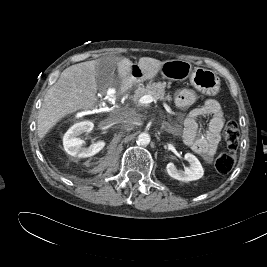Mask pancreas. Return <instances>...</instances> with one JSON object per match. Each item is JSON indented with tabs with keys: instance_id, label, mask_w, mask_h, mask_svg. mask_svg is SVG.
<instances>
[{
	"instance_id": "1",
	"label": "pancreas",
	"mask_w": 267,
	"mask_h": 267,
	"mask_svg": "<svg viewBox=\"0 0 267 267\" xmlns=\"http://www.w3.org/2000/svg\"><path fill=\"white\" fill-rule=\"evenodd\" d=\"M165 82H158L153 84H148L146 87H140L136 89L134 94V101L139 100L144 95H151L155 101L165 99L167 101L171 100L170 95L165 96Z\"/></svg>"
}]
</instances>
